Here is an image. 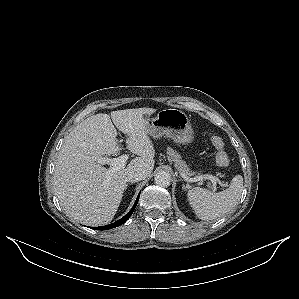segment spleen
I'll return each mask as SVG.
<instances>
[{
    "mask_svg": "<svg viewBox=\"0 0 299 299\" xmlns=\"http://www.w3.org/2000/svg\"><path fill=\"white\" fill-rule=\"evenodd\" d=\"M243 177L236 175L229 188L213 193L207 189L194 187L187 193V199L196 216L201 220H213L232 210L241 198Z\"/></svg>",
    "mask_w": 299,
    "mask_h": 299,
    "instance_id": "spleen-1",
    "label": "spleen"
}]
</instances>
